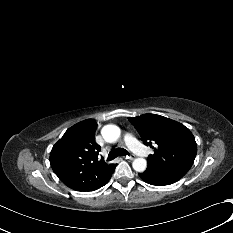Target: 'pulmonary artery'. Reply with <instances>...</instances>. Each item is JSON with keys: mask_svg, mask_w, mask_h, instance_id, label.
Masks as SVG:
<instances>
[{"mask_svg": "<svg viewBox=\"0 0 233 233\" xmlns=\"http://www.w3.org/2000/svg\"><path fill=\"white\" fill-rule=\"evenodd\" d=\"M123 141L134 153L140 156L146 155L147 151L139 144L132 134H124Z\"/></svg>", "mask_w": 233, "mask_h": 233, "instance_id": "obj_1", "label": "pulmonary artery"}]
</instances>
